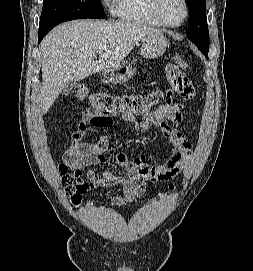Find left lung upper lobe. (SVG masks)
<instances>
[{
	"label": "left lung upper lobe",
	"instance_id": "1",
	"mask_svg": "<svg viewBox=\"0 0 253 271\" xmlns=\"http://www.w3.org/2000/svg\"><path fill=\"white\" fill-rule=\"evenodd\" d=\"M189 9L187 38L206 55L209 51V32L206 19L205 0H185Z\"/></svg>",
	"mask_w": 253,
	"mask_h": 271
}]
</instances>
